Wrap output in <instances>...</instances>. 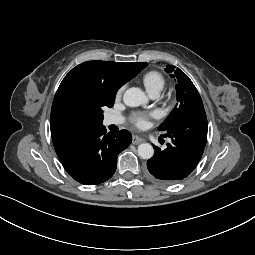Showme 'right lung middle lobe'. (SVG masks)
<instances>
[{"mask_svg":"<svg viewBox=\"0 0 255 255\" xmlns=\"http://www.w3.org/2000/svg\"><path fill=\"white\" fill-rule=\"evenodd\" d=\"M115 96L71 82L56 93L55 105L61 118L79 128L102 125L104 107H112Z\"/></svg>","mask_w":255,"mask_h":255,"instance_id":"1","label":"right lung middle lobe"}]
</instances>
